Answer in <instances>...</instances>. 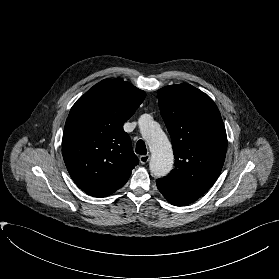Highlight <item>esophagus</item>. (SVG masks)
I'll list each match as a JSON object with an SVG mask.
<instances>
[{"instance_id":"esophagus-1","label":"esophagus","mask_w":279,"mask_h":279,"mask_svg":"<svg viewBox=\"0 0 279 279\" xmlns=\"http://www.w3.org/2000/svg\"><path fill=\"white\" fill-rule=\"evenodd\" d=\"M139 160L141 164H146L150 160V155H141Z\"/></svg>"}]
</instances>
